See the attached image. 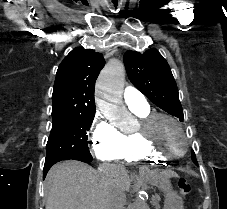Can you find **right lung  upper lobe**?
Listing matches in <instances>:
<instances>
[{"label":"right lung upper lobe","mask_w":227,"mask_h":209,"mask_svg":"<svg viewBox=\"0 0 227 209\" xmlns=\"http://www.w3.org/2000/svg\"><path fill=\"white\" fill-rule=\"evenodd\" d=\"M105 60L101 53L77 47L61 62L57 70L53 90V110L67 108L76 112L95 111L94 86ZM67 100H79L81 104L64 107Z\"/></svg>","instance_id":"1"}]
</instances>
